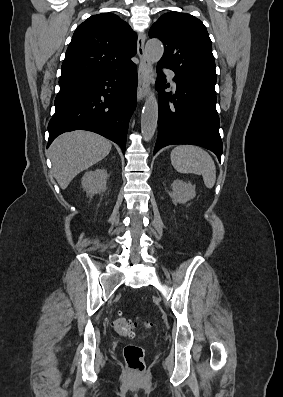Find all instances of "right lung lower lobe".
<instances>
[{
    "label": "right lung lower lobe",
    "mask_w": 283,
    "mask_h": 397,
    "mask_svg": "<svg viewBox=\"0 0 283 397\" xmlns=\"http://www.w3.org/2000/svg\"><path fill=\"white\" fill-rule=\"evenodd\" d=\"M59 85L47 147L58 135L83 129L112 140L124 153L129 119L136 107V65L132 62Z\"/></svg>",
    "instance_id": "obj_1"
}]
</instances>
